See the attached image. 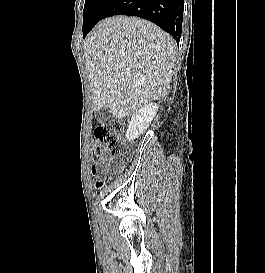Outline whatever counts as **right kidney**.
I'll list each match as a JSON object with an SVG mask.
<instances>
[{
	"label": "right kidney",
	"instance_id": "right-kidney-1",
	"mask_svg": "<svg viewBox=\"0 0 265 273\" xmlns=\"http://www.w3.org/2000/svg\"><path fill=\"white\" fill-rule=\"evenodd\" d=\"M158 108L159 106L156 103H149L133 114L126 132L128 141L135 140L139 135L145 132L155 117Z\"/></svg>",
	"mask_w": 265,
	"mask_h": 273
}]
</instances>
